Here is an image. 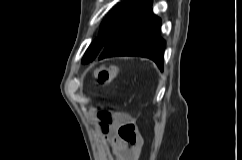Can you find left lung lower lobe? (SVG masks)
<instances>
[{"instance_id": "left-lung-lower-lobe-1", "label": "left lung lower lobe", "mask_w": 242, "mask_h": 160, "mask_svg": "<svg viewBox=\"0 0 242 160\" xmlns=\"http://www.w3.org/2000/svg\"><path fill=\"white\" fill-rule=\"evenodd\" d=\"M160 27L161 20L153 14L151 6L104 46L99 60L112 56H141L152 59L162 70L165 41L159 35Z\"/></svg>"}]
</instances>
